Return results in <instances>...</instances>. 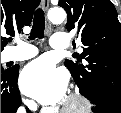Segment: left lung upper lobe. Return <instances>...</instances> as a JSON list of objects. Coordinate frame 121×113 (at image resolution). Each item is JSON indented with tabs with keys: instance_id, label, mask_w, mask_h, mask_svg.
<instances>
[{
	"instance_id": "1",
	"label": "left lung upper lobe",
	"mask_w": 121,
	"mask_h": 113,
	"mask_svg": "<svg viewBox=\"0 0 121 113\" xmlns=\"http://www.w3.org/2000/svg\"><path fill=\"white\" fill-rule=\"evenodd\" d=\"M68 20L66 29L77 31L83 53L66 60L80 93L103 95L121 102V27L110 0H59Z\"/></svg>"
}]
</instances>
